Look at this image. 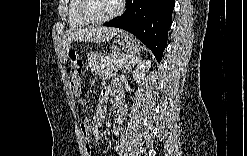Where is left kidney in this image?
<instances>
[{"label":"left kidney","mask_w":247,"mask_h":156,"mask_svg":"<svg viewBox=\"0 0 247 156\" xmlns=\"http://www.w3.org/2000/svg\"><path fill=\"white\" fill-rule=\"evenodd\" d=\"M151 67V60L140 61L136 69L133 71V78L137 83H141L144 80L147 71Z\"/></svg>","instance_id":"obj_1"}]
</instances>
